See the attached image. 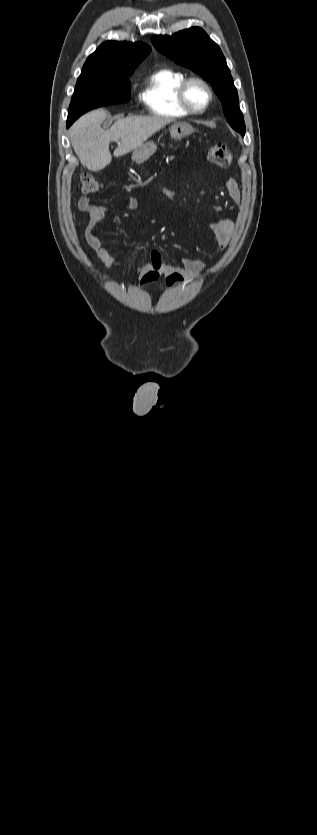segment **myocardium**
<instances>
[{
  "mask_svg": "<svg viewBox=\"0 0 317 835\" xmlns=\"http://www.w3.org/2000/svg\"><path fill=\"white\" fill-rule=\"evenodd\" d=\"M193 83L201 84L206 89V91L208 93L207 102L200 108L194 107L191 104V102L189 101V98H188V90H189V87ZM213 97H214V93H213V89H212V86L210 85V83L207 80H205L204 78L198 77V76L187 77L182 82V84L180 85L179 90H178V98H179V102H180L181 106L191 114L204 113L209 108V106L211 105V103L213 101Z\"/></svg>",
  "mask_w": 317,
  "mask_h": 835,
  "instance_id": "1",
  "label": "myocardium"
}]
</instances>
